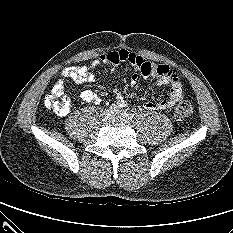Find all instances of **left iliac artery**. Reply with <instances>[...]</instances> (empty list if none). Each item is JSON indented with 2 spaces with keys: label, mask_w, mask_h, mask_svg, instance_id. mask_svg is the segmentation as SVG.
I'll list each match as a JSON object with an SVG mask.
<instances>
[{
  "label": "left iliac artery",
  "mask_w": 233,
  "mask_h": 233,
  "mask_svg": "<svg viewBox=\"0 0 233 233\" xmlns=\"http://www.w3.org/2000/svg\"><path fill=\"white\" fill-rule=\"evenodd\" d=\"M128 115V119L133 120L134 119V114L133 113H129Z\"/></svg>",
  "instance_id": "obj_1"
}]
</instances>
